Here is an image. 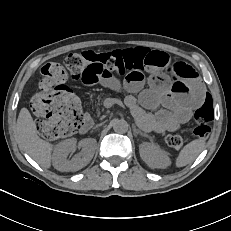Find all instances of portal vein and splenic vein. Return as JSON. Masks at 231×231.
Masks as SVG:
<instances>
[{"instance_id": "portal-vein-and-splenic-vein-1", "label": "portal vein and splenic vein", "mask_w": 231, "mask_h": 231, "mask_svg": "<svg viewBox=\"0 0 231 231\" xmlns=\"http://www.w3.org/2000/svg\"><path fill=\"white\" fill-rule=\"evenodd\" d=\"M114 103H117V101L114 100V99L108 98V99H106V100L104 101V106H105L106 108H110V107H112V105H113Z\"/></svg>"}]
</instances>
